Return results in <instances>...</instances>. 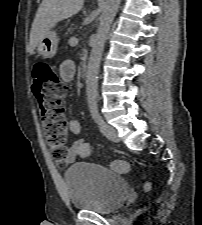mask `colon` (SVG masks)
<instances>
[{"label":"colon","mask_w":202,"mask_h":225,"mask_svg":"<svg viewBox=\"0 0 202 225\" xmlns=\"http://www.w3.org/2000/svg\"><path fill=\"white\" fill-rule=\"evenodd\" d=\"M32 74L42 131L53 157L60 160L68 153V128L64 109L68 85L58 77L54 67L45 61L37 62L33 66ZM111 169L116 173H127L131 164L125 160H115ZM144 188L147 191L152 190L148 182Z\"/></svg>","instance_id":"1"}]
</instances>
